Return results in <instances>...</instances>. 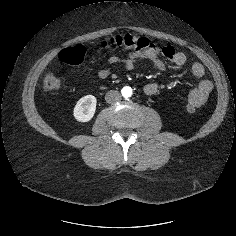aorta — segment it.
I'll use <instances>...</instances> for the list:
<instances>
[{
    "instance_id": "1",
    "label": "aorta",
    "mask_w": 236,
    "mask_h": 236,
    "mask_svg": "<svg viewBox=\"0 0 236 236\" xmlns=\"http://www.w3.org/2000/svg\"><path fill=\"white\" fill-rule=\"evenodd\" d=\"M121 92H122L123 97H125V98L131 97L132 88L129 86L123 87Z\"/></svg>"
}]
</instances>
